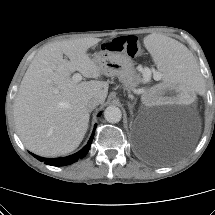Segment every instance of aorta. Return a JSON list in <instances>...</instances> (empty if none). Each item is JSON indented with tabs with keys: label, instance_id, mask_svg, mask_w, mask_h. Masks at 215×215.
Wrapping results in <instances>:
<instances>
[{
	"label": "aorta",
	"instance_id": "1",
	"mask_svg": "<svg viewBox=\"0 0 215 215\" xmlns=\"http://www.w3.org/2000/svg\"><path fill=\"white\" fill-rule=\"evenodd\" d=\"M104 118L109 123H118L122 118V112L116 106H109L104 111Z\"/></svg>",
	"mask_w": 215,
	"mask_h": 215
}]
</instances>
